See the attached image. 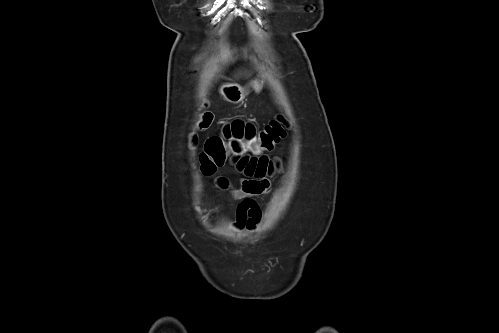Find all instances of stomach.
I'll return each instance as SVG.
<instances>
[{
  "mask_svg": "<svg viewBox=\"0 0 499 333\" xmlns=\"http://www.w3.org/2000/svg\"><path fill=\"white\" fill-rule=\"evenodd\" d=\"M250 85L255 90V92H260L263 87V80L257 78L253 80ZM220 93L226 101L233 104L240 103L247 95L245 88L241 87L238 84L223 85L220 88Z\"/></svg>",
  "mask_w": 499,
  "mask_h": 333,
  "instance_id": "obj_1",
  "label": "stomach"
}]
</instances>
